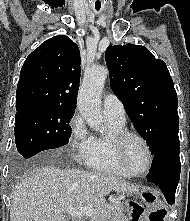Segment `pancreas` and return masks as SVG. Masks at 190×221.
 Listing matches in <instances>:
<instances>
[{
    "label": "pancreas",
    "instance_id": "cf45deb5",
    "mask_svg": "<svg viewBox=\"0 0 190 221\" xmlns=\"http://www.w3.org/2000/svg\"><path fill=\"white\" fill-rule=\"evenodd\" d=\"M124 205L121 202H109L97 208L98 214L90 218V221H121L124 216L122 211Z\"/></svg>",
    "mask_w": 190,
    "mask_h": 221
}]
</instances>
